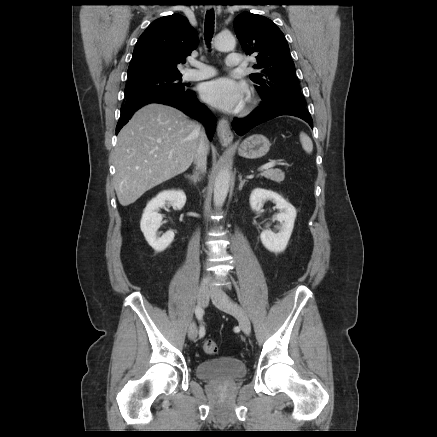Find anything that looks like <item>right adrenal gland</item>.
Returning a JSON list of instances; mask_svg holds the SVG:
<instances>
[{
  "label": "right adrenal gland",
  "mask_w": 437,
  "mask_h": 437,
  "mask_svg": "<svg viewBox=\"0 0 437 437\" xmlns=\"http://www.w3.org/2000/svg\"><path fill=\"white\" fill-rule=\"evenodd\" d=\"M185 178H187L188 180L193 182L194 185H196V183L200 181V172L196 170L193 175H185Z\"/></svg>",
  "instance_id": "2a0ac1e0"
}]
</instances>
